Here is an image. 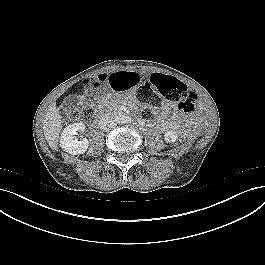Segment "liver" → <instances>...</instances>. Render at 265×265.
I'll list each match as a JSON object with an SVG mask.
<instances>
[{
  "label": "liver",
  "instance_id": "6515ba94",
  "mask_svg": "<svg viewBox=\"0 0 265 265\" xmlns=\"http://www.w3.org/2000/svg\"><path fill=\"white\" fill-rule=\"evenodd\" d=\"M61 123L62 120L59 110L56 108L54 104L48 109L43 124L45 139L47 140L49 146L52 149L57 148L59 134L62 128Z\"/></svg>",
  "mask_w": 265,
  "mask_h": 265
}]
</instances>
